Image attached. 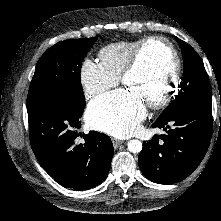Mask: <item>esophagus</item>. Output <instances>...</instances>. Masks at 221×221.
<instances>
[{"label": "esophagus", "instance_id": "obj_1", "mask_svg": "<svg viewBox=\"0 0 221 221\" xmlns=\"http://www.w3.org/2000/svg\"><path fill=\"white\" fill-rule=\"evenodd\" d=\"M112 143H113L114 148H117L119 145L123 143V141L118 140L116 138H112Z\"/></svg>", "mask_w": 221, "mask_h": 221}]
</instances>
